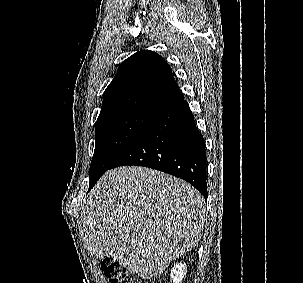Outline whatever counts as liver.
Returning <instances> with one entry per match:
<instances>
[{
  "label": "liver",
  "instance_id": "1",
  "mask_svg": "<svg viewBox=\"0 0 303 283\" xmlns=\"http://www.w3.org/2000/svg\"><path fill=\"white\" fill-rule=\"evenodd\" d=\"M205 200L163 172L128 166L107 171L82 208L91 256L113 258L141 278L157 277L202 237Z\"/></svg>",
  "mask_w": 303,
  "mask_h": 283
}]
</instances>
